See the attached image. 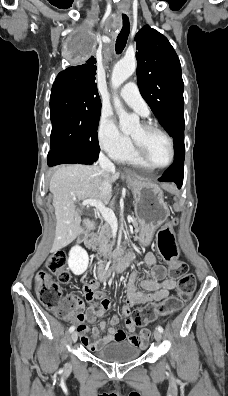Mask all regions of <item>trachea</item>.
Returning <instances> with one entry per match:
<instances>
[{
	"label": "trachea",
	"instance_id": "obj_1",
	"mask_svg": "<svg viewBox=\"0 0 228 396\" xmlns=\"http://www.w3.org/2000/svg\"><path fill=\"white\" fill-rule=\"evenodd\" d=\"M122 20H123V26L120 33L117 36V40L115 44V50L117 54L122 53V51L124 50L130 31V23L127 15L122 14Z\"/></svg>",
	"mask_w": 228,
	"mask_h": 396
}]
</instances>
